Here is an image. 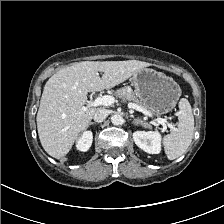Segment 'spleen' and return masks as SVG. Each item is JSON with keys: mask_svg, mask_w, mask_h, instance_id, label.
<instances>
[{"mask_svg": "<svg viewBox=\"0 0 224 224\" xmlns=\"http://www.w3.org/2000/svg\"><path fill=\"white\" fill-rule=\"evenodd\" d=\"M179 109L177 128L163 139L164 150L169 160L178 158L187 150L194 133V116L189 101L182 98Z\"/></svg>", "mask_w": 224, "mask_h": 224, "instance_id": "3e777b00", "label": "spleen"}]
</instances>
